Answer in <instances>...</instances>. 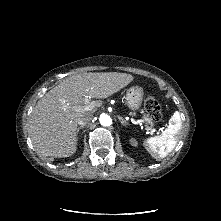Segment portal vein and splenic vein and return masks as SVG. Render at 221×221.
I'll return each mask as SVG.
<instances>
[{"label":"portal vein and splenic vein","instance_id":"portal-vein-and-splenic-vein-1","mask_svg":"<svg viewBox=\"0 0 221 221\" xmlns=\"http://www.w3.org/2000/svg\"><path fill=\"white\" fill-rule=\"evenodd\" d=\"M95 106H96V101L90 102V101L88 100V97H85L84 105L81 106V107H79V110H82V111H91ZM132 122H133L134 124L142 125L143 120H141V119H138V120L132 119Z\"/></svg>","mask_w":221,"mask_h":221}]
</instances>
